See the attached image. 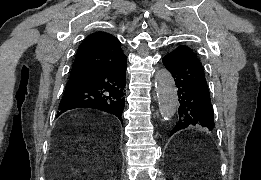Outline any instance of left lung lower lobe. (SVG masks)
Listing matches in <instances>:
<instances>
[{
	"instance_id": "obj_1",
	"label": "left lung lower lobe",
	"mask_w": 261,
	"mask_h": 180,
	"mask_svg": "<svg viewBox=\"0 0 261 180\" xmlns=\"http://www.w3.org/2000/svg\"><path fill=\"white\" fill-rule=\"evenodd\" d=\"M178 87L179 119L171 135L188 126L214 128V112L204 69L191 48L179 46L163 58Z\"/></svg>"
}]
</instances>
